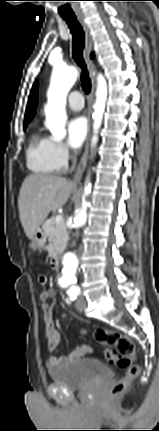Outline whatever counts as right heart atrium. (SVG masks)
Segmentation results:
<instances>
[{"label":"right heart atrium","instance_id":"d8ad5b80","mask_svg":"<svg viewBox=\"0 0 159 431\" xmlns=\"http://www.w3.org/2000/svg\"><path fill=\"white\" fill-rule=\"evenodd\" d=\"M49 154L56 170L64 169L71 157V152L66 143L54 138H48Z\"/></svg>","mask_w":159,"mask_h":431}]
</instances>
